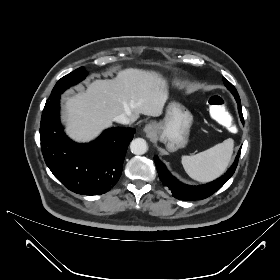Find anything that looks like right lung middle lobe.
Here are the masks:
<instances>
[{
	"label": "right lung middle lobe",
	"mask_w": 280,
	"mask_h": 280,
	"mask_svg": "<svg viewBox=\"0 0 280 280\" xmlns=\"http://www.w3.org/2000/svg\"><path fill=\"white\" fill-rule=\"evenodd\" d=\"M87 75V71L80 67L73 72L62 77L54 86L49 99L60 96L67 88L82 81Z\"/></svg>",
	"instance_id": "obj_1"
}]
</instances>
